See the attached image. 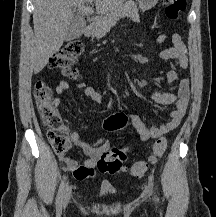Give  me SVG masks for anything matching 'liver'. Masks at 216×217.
<instances>
[{"label":"liver","mask_w":216,"mask_h":217,"mask_svg":"<svg viewBox=\"0 0 216 217\" xmlns=\"http://www.w3.org/2000/svg\"><path fill=\"white\" fill-rule=\"evenodd\" d=\"M123 2L124 0H95L96 13H109ZM33 3L35 37L32 62L34 73L37 74L63 45L75 16L72 8L77 7L82 15L92 13V9L85 6L86 0H34Z\"/></svg>","instance_id":"liver-1"}]
</instances>
